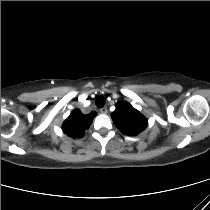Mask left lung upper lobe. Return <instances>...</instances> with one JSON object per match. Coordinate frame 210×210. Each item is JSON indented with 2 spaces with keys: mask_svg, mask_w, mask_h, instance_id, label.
Segmentation results:
<instances>
[{
  "mask_svg": "<svg viewBox=\"0 0 210 210\" xmlns=\"http://www.w3.org/2000/svg\"><path fill=\"white\" fill-rule=\"evenodd\" d=\"M112 119L116 127L129 136L137 135L147 126V119L127 102L116 105Z\"/></svg>",
  "mask_w": 210,
  "mask_h": 210,
  "instance_id": "1",
  "label": "left lung upper lobe"
}]
</instances>
